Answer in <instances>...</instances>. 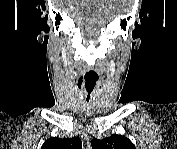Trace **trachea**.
Masks as SVG:
<instances>
[{"mask_svg": "<svg viewBox=\"0 0 177 149\" xmlns=\"http://www.w3.org/2000/svg\"><path fill=\"white\" fill-rule=\"evenodd\" d=\"M87 92H88V95H87L86 100L88 101V100H89V98H90V93H91V91H87Z\"/></svg>", "mask_w": 177, "mask_h": 149, "instance_id": "3493384b", "label": "trachea"}]
</instances>
